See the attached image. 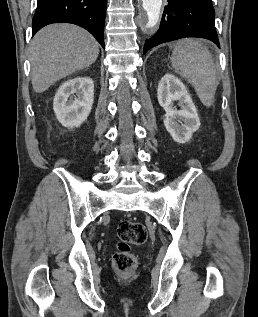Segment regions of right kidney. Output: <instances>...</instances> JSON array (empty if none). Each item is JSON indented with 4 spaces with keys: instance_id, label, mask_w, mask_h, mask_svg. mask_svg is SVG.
<instances>
[{
    "instance_id": "right-kidney-1",
    "label": "right kidney",
    "mask_w": 258,
    "mask_h": 317,
    "mask_svg": "<svg viewBox=\"0 0 258 317\" xmlns=\"http://www.w3.org/2000/svg\"><path fill=\"white\" fill-rule=\"evenodd\" d=\"M94 82L89 76H76L59 86L53 100L54 112L63 126H80L91 112Z\"/></svg>"
}]
</instances>
